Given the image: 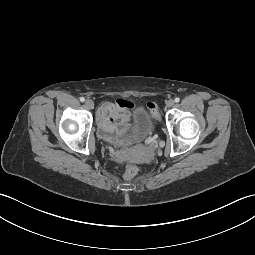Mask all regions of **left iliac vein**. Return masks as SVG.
<instances>
[{
    "mask_svg": "<svg viewBox=\"0 0 255 255\" xmlns=\"http://www.w3.org/2000/svg\"><path fill=\"white\" fill-rule=\"evenodd\" d=\"M174 104H175V101L173 99H170V100L167 101L166 105H167V107L171 108V107L174 106Z\"/></svg>",
    "mask_w": 255,
    "mask_h": 255,
    "instance_id": "obj_1",
    "label": "left iliac vein"
}]
</instances>
